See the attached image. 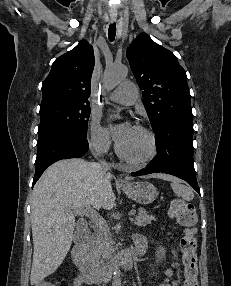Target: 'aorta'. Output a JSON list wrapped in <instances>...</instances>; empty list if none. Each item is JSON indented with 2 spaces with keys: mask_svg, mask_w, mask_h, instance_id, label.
<instances>
[{
  "mask_svg": "<svg viewBox=\"0 0 231 286\" xmlns=\"http://www.w3.org/2000/svg\"><path fill=\"white\" fill-rule=\"evenodd\" d=\"M128 69L124 65H111L106 68L103 76L104 86L107 89L116 87L127 75ZM112 286H121V271L118 260L113 266Z\"/></svg>",
  "mask_w": 231,
  "mask_h": 286,
  "instance_id": "obj_1",
  "label": "aorta"
}]
</instances>
